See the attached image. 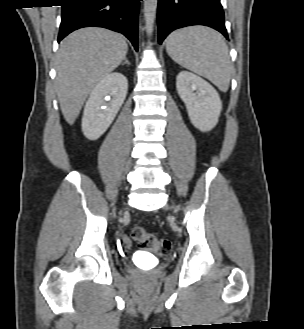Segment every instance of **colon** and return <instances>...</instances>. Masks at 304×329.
<instances>
[{
	"label": "colon",
	"mask_w": 304,
	"mask_h": 329,
	"mask_svg": "<svg viewBox=\"0 0 304 329\" xmlns=\"http://www.w3.org/2000/svg\"><path fill=\"white\" fill-rule=\"evenodd\" d=\"M131 236L142 248L151 251L158 256H167L172 250L171 241L167 238H160L148 232L142 226H134Z\"/></svg>",
	"instance_id": "1"
}]
</instances>
